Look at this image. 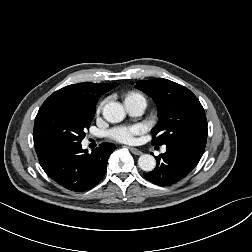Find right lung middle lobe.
Masks as SVG:
<instances>
[{
    "mask_svg": "<svg viewBox=\"0 0 252 252\" xmlns=\"http://www.w3.org/2000/svg\"><path fill=\"white\" fill-rule=\"evenodd\" d=\"M94 115V108L65 101L44 102L35 118L34 145L81 142Z\"/></svg>",
    "mask_w": 252,
    "mask_h": 252,
    "instance_id": "right-lung-middle-lobe-1",
    "label": "right lung middle lobe"
}]
</instances>
